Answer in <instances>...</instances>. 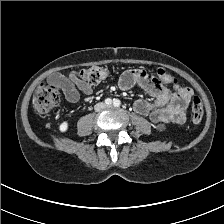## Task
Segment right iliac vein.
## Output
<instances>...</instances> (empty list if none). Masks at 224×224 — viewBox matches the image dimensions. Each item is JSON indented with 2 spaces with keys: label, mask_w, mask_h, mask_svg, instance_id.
<instances>
[{
  "label": "right iliac vein",
  "mask_w": 224,
  "mask_h": 224,
  "mask_svg": "<svg viewBox=\"0 0 224 224\" xmlns=\"http://www.w3.org/2000/svg\"><path fill=\"white\" fill-rule=\"evenodd\" d=\"M103 108V105L102 104H98L97 107H96V110H100Z\"/></svg>",
  "instance_id": "obj_1"
}]
</instances>
